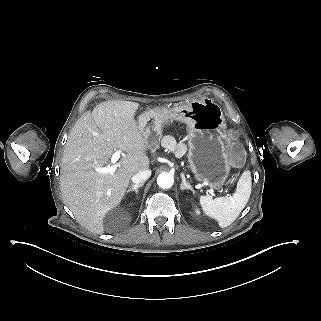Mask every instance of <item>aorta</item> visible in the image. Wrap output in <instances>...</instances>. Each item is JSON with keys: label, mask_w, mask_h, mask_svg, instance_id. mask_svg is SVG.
<instances>
[{"label": "aorta", "mask_w": 321, "mask_h": 321, "mask_svg": "<svg viewBox=\"0 0 321 321\" xmlns=\"http://www.w3.org/2000/svg\"><path fill=\"white\" fill-rule=\"evenodd\" d=\"M173 182L174 178L170 173H161L157 178V184L163 189L170 188L173 185Z\"/></svg>", "instance_id": "obj_1"}]
</instances>
